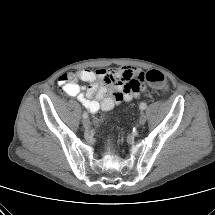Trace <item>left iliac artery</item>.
Masks as SVG:
<instances>
[{"mask_svg":"<svg viewBox=\"0 0 215 215\" xmlns=\"http://www.w3.org/2000/svg\"><path fill=\"white\" fill-rule=\"evenodd\" d=\"M139 107L141 110H145L147 107V104L145 102H142V103H140Z\"/></svg>","mask_w":215,"mask_h":215,"instance_id":"1","label":"left iliac artery"}]
</instances>
